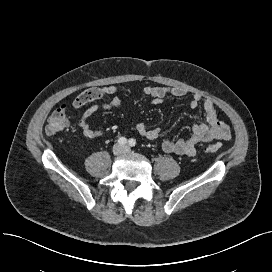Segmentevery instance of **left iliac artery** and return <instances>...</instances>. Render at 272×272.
<instances>
[{
    "label": "left iliac artery",
    "instance_id": "44dca946",
    "mask_svg": "<svg viewBox=\"0 0 272 272\" xmlns=\"http://www.w3.org/2000/svg\"><path fill=\"white\" fill-rule=\"evenodd\" d=\"M128 144H129V146L134 147L136 145V140L135 139H130L128 141Z\"/></svg>",
    "mask_w": 272,
    "mask_h": 272
}]
</instances>
